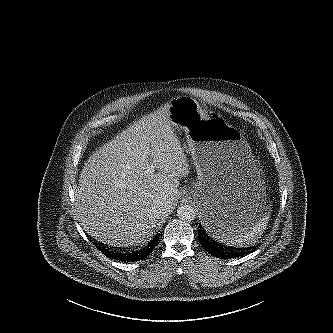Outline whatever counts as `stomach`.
<instances>
[{
	"instance_id": "0dacf381",
	"label": "stomach",
	"mask_w": 333,
	"mask_h": 333,
	"mask_svg": "<svg viewBox=\"0 0 333 333\" xmlns=\"http://www.w3.org/2000/svg\"><path fill=\"white\" fill-rule=\"evenodd\" d=\"M169 113L171 124L186 134L197 170L190 194L210 234L220 239L262 217L263 173L244 135L192 97L172 99Z\"/></svg>"
}]
</instances>
